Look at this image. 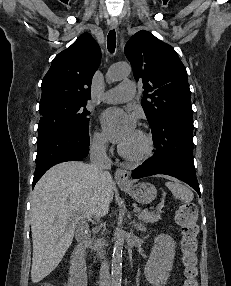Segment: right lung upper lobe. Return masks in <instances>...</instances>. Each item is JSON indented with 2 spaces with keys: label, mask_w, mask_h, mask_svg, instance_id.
Wrapping results in <instances>:
<instances>
[{
  "label": "right lung upper lobe",
  "mask_w": 231,
  "mask_h": 286,
  "mask_svg": "<svg viewBox=\"0 0 231 286\" xmlns=\"http://www.w3.org/2000/svg\"><path fill=\"white\" fill-rule=\"evenodd\" d=\"M101 51L90 34L84 33L59 53L42 81L40 106L56 101L87 102Z\"/></svg>",
  "instance_id": "obj_1"
}]
</instances>
